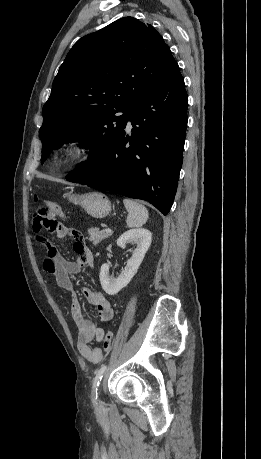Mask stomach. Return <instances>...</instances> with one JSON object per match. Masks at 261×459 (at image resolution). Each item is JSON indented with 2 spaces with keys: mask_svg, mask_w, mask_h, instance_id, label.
<instances>
[{
  "mask_svg": "<svg viewBox=\"0 0 261 459\" xmlns=\"http://www.w3.org/2000/svg\"><path fill=\"white\" fill-rule=\"evenodd\" d=\"M70 202L80 205L90 216L104 218L111 212V202L102 193L90 192L82 195L66 193Z\"/></svg>",
  "mask_w": 261,
  "mask_h": 459,
  "instance_id": "1",
  "label": "stomach"
}]
</instances>
